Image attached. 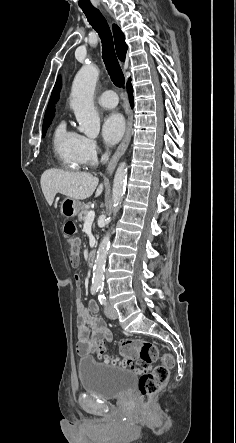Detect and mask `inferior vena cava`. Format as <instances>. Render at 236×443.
<instances>
[{"label":"inferior vena cava","instance_id":"602c4592","mask_svg":"<svg viewBox=\"0 0 236 443\" xmlns=\"http://www.w3.org/2000/svg\"><path fill=\"white\" fill-rule=\"evenodd\" d=\"M108 158H109V153H105L104 155H102L101 161L106 162L108 160Z\"/></svg>","mask_w":236,"mask_h":443}]
</instances>
